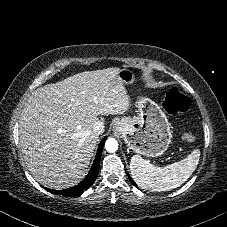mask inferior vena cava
<instances>
[{
  "label": "inferior vena cava",
  "instance_id": "1",
  "mask_svg": "<svg viewBox=\"0 0 227 227\" xmlns=\"http://www.w3.org/2000/svg\"><path fill=\"white\" fill-rule=\"evenodd\" d=\"M104 131V123L102 121H97L94 125H93V132L97 133V134H101Z\"/></svg>",
  "mask_w": 227,
  "mask_h": 227
}]
</instances>
